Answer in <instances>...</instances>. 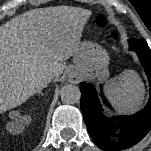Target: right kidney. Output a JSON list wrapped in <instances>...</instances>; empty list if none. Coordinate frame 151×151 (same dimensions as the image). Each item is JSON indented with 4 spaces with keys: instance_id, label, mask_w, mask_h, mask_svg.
<instances>
[{
    "instance_id": "1",
    "label": "right kidney",
    "mask_w": 151,
    "mask_h": 151,
    "mask_svg": "<svg viewBox=\"0 0 151 151\" xmlns=\"http://www.w3.org/2000/svg\"><path fill=\"white\" fill-rule=\"evenodd\" d=\"M13 118H15L16 120L19 119V113L17 112H13L12 115H11ZM17 125H16V122H13L12 125H11V129H10V132L12 133H17L18 132V129H17Z\"/></svg>"
}]
</instances>
